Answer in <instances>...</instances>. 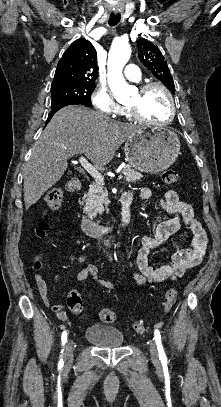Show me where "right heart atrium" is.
Listing matches in <instances>:
<instances>
[{
  "label": "right heart atrium",
  "mask_w": 221,
  "mask_h": 407,
  "mask_svg": "<svg viewBox=\"0 0 221 407\" xmlns=\"http://www.w3.org/2000/svg\"><path fill=\"white\" fill-rule=\"evenodd\" d=\"M91 103L94 108L108 116L119 113L121 106L116 103L110 91L102 86H97L91 94Z\"/></svg>",
  "instance_id": "1"
}]
</instances>
